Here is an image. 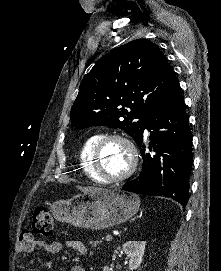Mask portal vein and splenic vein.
<instances>
[{
	"mask_svg": "<svg viewBox=\"0 0 221 271\" xmlns=\"http://www.w3.org/2000/svg\"><path fill=\"white\" fill-rule=\"evenodd\" d=\"M113 235H105L104 236V239L107 240V241H110V240H113Z\"/></svg>",
	"mask_w": 221,
	"mask_h": 271,
	"instance_id": "portal-vein-and-splenic-vein-1",
	"label": "portal vein and splenic vein"
}]
</instances>
